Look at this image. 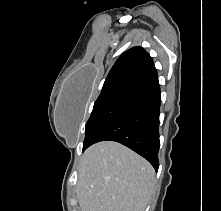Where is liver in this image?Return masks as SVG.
<instances>
[{"label": "liver", "instance_id": "6515ba94", "mask_svg": "<svg viewBox=\"0 0 221 211\" xmlns=\"http://www.w3.org/2000/svg\"><path fill=\"white\" fill-rule=\"evenodd\" d=\"M154 183L147 160L120 143L104 141L83 154L76 193L81 211H145Z\"/></svg>", "mask_w": 221, "mask_h": 211}]
</instances>
